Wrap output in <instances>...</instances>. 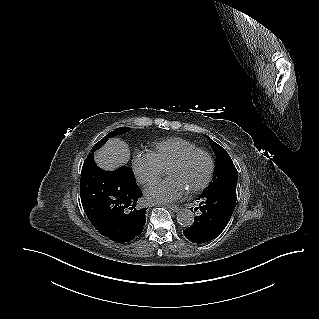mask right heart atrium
Wrapping results in <instances>:
<instances>
[{"label":"right heart atrium","mask_w":319,"mask_h":319,"mask_svg":"<svg viewBox=\"0 0 319 319\" xmlns=\"http://www.w3.org/2000/svg\"><path fill=\"white\" fill-rule=\"evenodd\" d=\"M132 169L141 185L154 183L163 173V168L149 152H136L132 159Z\"/></svg>","instance_id":"d8ad5b80"}]
</instances>
